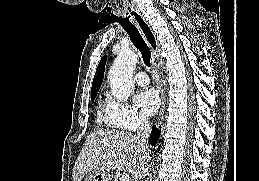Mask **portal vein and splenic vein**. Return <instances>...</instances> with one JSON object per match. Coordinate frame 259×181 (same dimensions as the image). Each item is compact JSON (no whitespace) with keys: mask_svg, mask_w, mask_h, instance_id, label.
Listing matches in <instances>:
<instances>
[{"mask_svg":"<svg viewBox=\"0 0 259 181\" xmlns=\"http://www.w3.org/2000/svg\"><path fill=\"white\" fill-rule=\"evenodd\" d=\"M119 181H131V178L129 175L123 174L122 176H120Z\"/></svg>","mask_w":259,"mask_h":181,"instance_id":"portal-vein-and-splenic-vein-1","label":"portal vein and splenic vein"}]
</instances>
